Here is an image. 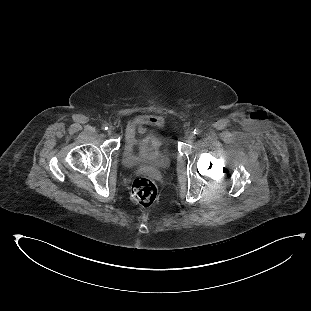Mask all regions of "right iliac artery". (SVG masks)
Returning <instances> with one entry per match:
<instances>
[{
    "instance_id": "obj_1",
    "label": "right iliac artery",
    "mask_w": 311,
    "mask_h": 311,
    "mask_svg": "<svg viewBox=\"0 0 311 311\" xmlns=\"http://www.w3.org/2000/svg\"><path fill=\"white\" fill-rule=\"evenodd\" d=\"M102 129L107 130L108 129L107 125L106 124L102 125Z\"/></svg>"
}]
</instances>
